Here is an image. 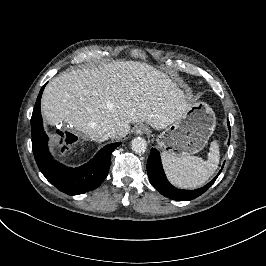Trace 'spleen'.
<instances>
[{
    "mask_svg": "<svg viewBox=\"0 0 266 266\" xmlns=\"http://www.w3.org/2000/svg\"><path fill=\"white\" fill-rule=\"evenodd\" d=\"M208 159L197 156L176 157L162 152V163L169 181L178 188L195 189L201 187L217 170L220 152L216 140L210 144Z\"/></svg>",
    "mask_w": 266,
    "mask_h": 266,
    "instance_id": "3e777b00",
    "label": "spleen"
}]
</instances>
